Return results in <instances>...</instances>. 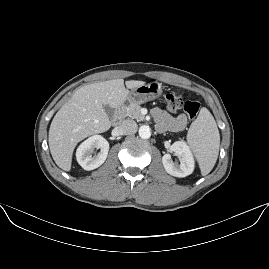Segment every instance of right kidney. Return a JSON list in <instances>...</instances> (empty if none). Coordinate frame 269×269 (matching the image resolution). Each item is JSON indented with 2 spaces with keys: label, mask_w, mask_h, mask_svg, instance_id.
I'll use <instances>...</instances> for the list:
<instances>
[{
  "label": "right kidney",
  "mask_w": 269,
  "mask_h": 269,
  "mask_svg": "<svg viewBox=\"0 0 269 269\" xmlns=\"http://www.w3.org/2000/svg\"><path fill=\"white\" fill-rule=\"evenodd\" d=\"M92 148H100L97 155H91ZM108 142L101 135H92L82 141L76 149V160L85 170H92L100 166L107 158Z\"/></svg>",
  "instance_id": "obj_1"
}]
</instances>
